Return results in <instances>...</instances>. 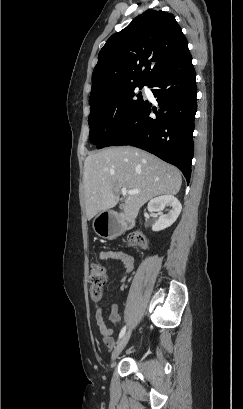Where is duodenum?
Listing matches in <instances>:
<instances>
[{
    "mask_svg": "<svg viewBox=\"0 0 243 409\" xmlns=\"http://www.w3.org/2000/svg\"><path fill=\"white\" fill-rule=\"evenodd\" d=\"M123 223H124L125 225H127V224H129V221L125 219V220L123 221Z\"/></svg>",
    "mask_w": 243,
    "mask_h": 409,
    "instance_id": "1",
    "label": "duodenum"
}]
</instances>
